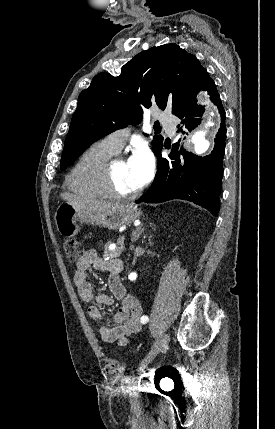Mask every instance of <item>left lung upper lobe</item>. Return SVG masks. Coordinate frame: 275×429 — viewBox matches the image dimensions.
I'll list each match as a JSON object with an SVG mask.
<instances>
[{
	"label": "left lung upper lobe",
	"mask_w": 275,
	"mask_h": 429,
	"mask_svg": "<svg viewBox=\"0 0 275 429\" xmlns=\"http://www.w3.org/2000/svg\"><path fill=\"white\" fill-rule=\"evenodd\" d=\"M202 69L194 55L170 43L137 54L119 76L108 72L96 75L79 95L61 169L102 137L128 124H139L143 111L152 105L171 108L176 115L192 98ZM151 144L156 153L163 146V137L154 136Z\"/></svg>",
	"instance_id": "5c2ea615"
}]
</instances>
